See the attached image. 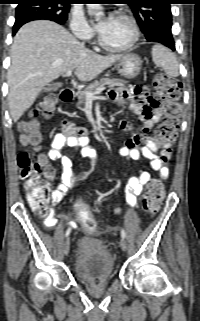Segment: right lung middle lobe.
Returning a JSON list of instances; mask_svg holds the SVG:
<instances>
[{"instance_id":"1","label":"right lung middle lobe","mask_w":200,"mask_h":321,"mask_svg":"<svg viewBox=\"0 0 200 321\" xmlns=\"http://www.w3.org/2000/svg\"><path fill=\"white\" fill-rule=\"evenodd\" d=\"M64 0H23L16 7V20L30 15L47 16L50 20L64 24L68 18L70 4Z\"/></svg>"}]
</instances>
